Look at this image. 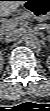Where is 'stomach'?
<instances>
[{
    "instance_id": "1",
    "label": "stomach",
    "mask_w": 50,
    "mask_h": 111,
    "mask_svg": "<svg viewBox=\"0 0 50 111\" xmlns=\"http://www.w3.org/2000/svg\"><path fill=\"white\" fill-rule=\"evenodd\" d=\"M25 10L35 19L44 21L50 18V0H25Z\"/></svg>"
}]
</instances>
